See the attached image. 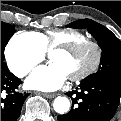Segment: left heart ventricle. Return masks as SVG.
<instances>
[{
    "label": "left heart ventricle",
    "mask_w": 121,
    "mask_h": 121,
    "mask_svg": "<svg viewBox=\"0 0 121 121\" xmlns=\"http://www.w3.org/2000/svg\"><path fill=\"white\" fill-rule=\"evenodd\" d=\"M49 59L68 78L86 68L93 61L94 52L91 49H86L80 55L74 56L64 52L54 51L49 54Z\"/></svg>",
    "instance_id": "left-heart-ventricle-1"
}]
</instances>
